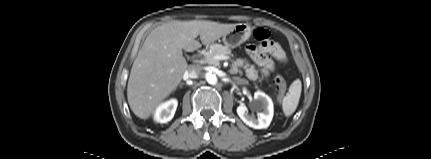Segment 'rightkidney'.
Listing matches in <instances>:
<instances>
[{
    "mask_svg": "<svg viewBox=\"0 0 431 159\" xmlns=\"http://www.w3.org/2000/svg\"><path fill=\"white\" fill-rule=\"evenodd\" d=\"M177 100L172 99L163 104H161L155 112L154 119L160 123H167L170 121L176 111L177 108Z\"/></svg>",
    "mask_w": 431,
    "mask_h": 159,
    "instance_id": "right-kidney-1",
    "label": "right kidney"
}]
</instances>
